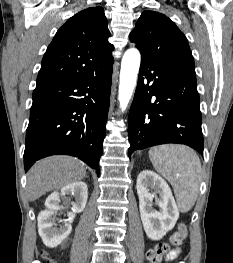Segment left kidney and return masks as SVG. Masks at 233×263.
<instances>
[{
    "label": "left kidney",
    "mask_w": 233,
    "mask_h": 263,
    "mask_svg": "<svg viewBox=\"0 0 233 263\" xmlns=\"http://www.w3.org/2000/svg\"><path fill=\"white\" fill-rule=\"evenodd\" d=\"M136 188L144 230L150 239L160 240L173 229L179 218V210L171 189L161 176L151 170L140 172L137 177ZM150 189L159 193L160 198L157 199L155 194L150 192ZM154 198L160 208L159 211L153 207Z\"/></svg>",
    "instance_id": "5707ae66"
}]
</instances>
